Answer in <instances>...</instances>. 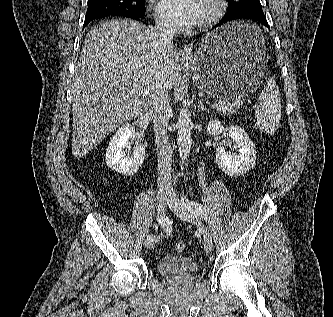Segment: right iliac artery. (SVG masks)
I'll list each match as a JSON object with an SVG mask.
<instances>
[{
	"instance_id": "1",
	"label": "right iliac artery",
	"mask_w": 333,
	"mask_h": 317,
	"mask_svg": "<svg viewBox=\"0 0 333 317\" xmlns=\"http://www.w3.org/2000/svg\"><path fill=\"white\" fill-rule=\"evenodd\" d=\"M158 222L161 225V227L165 230V233L167 236H169L172 232V228H171V224L170 221L167 217H165L164 215L162 217H159L158 215ZM147 239L152 240V241H158V237H156L155 235H149L147 237Z\"/></svg>"
}]
</instances>
